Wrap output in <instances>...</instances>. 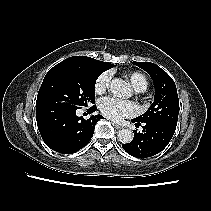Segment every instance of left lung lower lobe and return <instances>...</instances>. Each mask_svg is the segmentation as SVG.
I'll return each instance as SVG.
<instances>
[{
  "label": "left lung lower lobe",
  "instance_id": "obj_1",
  "mask_svg": "<svg viewBox=\"0 0 211 211\" xmlns=\"http://www.w3.org/2000/svg\"><path fill=\"white\" fill-rule=\"evenodd\" d=\"M136 125H143L142 132L134 130V138L130 143L123 144V149L137 158H147L161 152L170 142L174 135L171 130L161 124L153 122H140L135 119Z\"/></svg>",
  "mask_w": 211,
  "mask_h": 211
}]
</instances>
